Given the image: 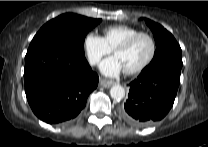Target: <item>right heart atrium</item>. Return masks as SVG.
<instances>
[{"label":"right heart atrium","mask_w":208,"mask_h":147,"mask_svg":"<svg viewBox=\"0 0 208 147\" xmlns=\"http://www.w3.org/2000/svg\"><path fill=\"white\" fill-rule=\"evenodd\" d=\"M84 49L89 63L97 65L101 59L111 53L104 38L95 33H88L84 38Z\"/></svg>","instance_id":"d8ad5b80"}]
</instances>
